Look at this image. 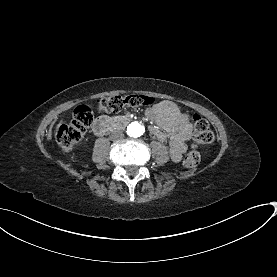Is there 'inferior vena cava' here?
I'll list each match as a JSON object with an SVG mask.
<instances>
[{
    "instance_id": "obj_1",
    "label": "inferior vena cava",
    "mask_w": 277,
    "mask_h": 277,
    "mask_svg": "<svg viewBox=\"0 0 277 277\" xmlns=\"http://www.w3.org/2000/svg\"><path fill=\"white\" fill-rule=\"evenodd\" d=\"M110 138L113 140V141H117V140H121L124 138V134L122 133V131L120 130H115L111 133V136Z\"/></svg>"
}]
</instances>
